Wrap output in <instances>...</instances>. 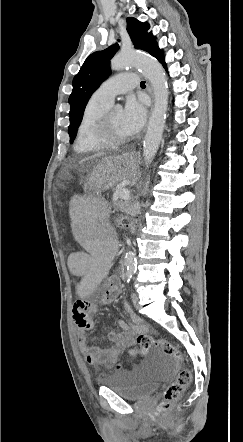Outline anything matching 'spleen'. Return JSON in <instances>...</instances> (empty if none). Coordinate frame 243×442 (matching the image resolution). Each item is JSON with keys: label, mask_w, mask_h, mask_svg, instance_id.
I'll list each match as a JSON object with an SVG mask.
<instances>
[{"label": "spleen", "mask_w": 243, "mask_h": 442, "mask_svg": "<svg viewBox=\"0 0 243 442\" xmlns=\"http://www.w3.org/2000/svg\"><path fill=\"white\" fill-rule=\"evenodd\" d=\"M87 199L83 193L65 194L66 202H74L71 205L72 219H76L74 237L86 248V254H79V259L74 261L77 274H83V280H87L82 287H76V296H97L102 280H108L110 268L107 263L117 256L116 241L107 239L105 222H101L105 212L101 201L104 196L100 195V200Z\"/></svg>", "instance_id": "1"}]
</instances>
